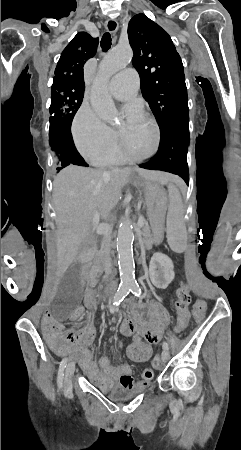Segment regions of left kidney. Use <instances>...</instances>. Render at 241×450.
<instances>
[{
  "instance_id": "5707ae66",
  "label": "left kidney",
  "mask_w": 241,
  "mask_h": 450,
  "mask_svg": "<svg viewBox=\"0 0 241 450\" xmlns=\"http://www.w3.org/2000/svg\"><path fill=\"white\" fill-rule=\"evenodd\" d=\"M173 268V262L168 256L160 252L153 254L149 264V276L153 286L165 290L174 280Z\"/></svg>"
}]
</instances>
